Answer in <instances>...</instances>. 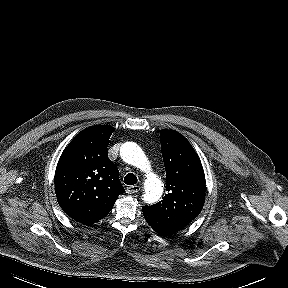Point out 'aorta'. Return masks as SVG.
<instances>
[{
	"instance_id": "obj_1",
	"label": "aorta",
	"mask_w": 288,
	"mask_h": 288,
	"mask_svg": "<svg viewBox=\"0 0 288 288\" xmlns=\"http://www.w3.org/2000/svg\"><path fill=\"white\" fill-rule=\"evenodd\" d=\"M120 155L126 163L136 166L147 173L143 200L149 204L155 203L162 196L163 183L157 175L150 172L142 149L134 142H126L121 146Z\"/></svg>"
}]
</instances>
